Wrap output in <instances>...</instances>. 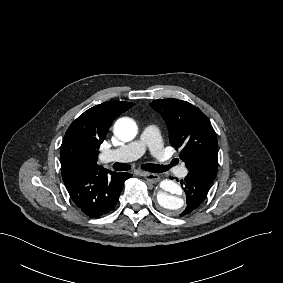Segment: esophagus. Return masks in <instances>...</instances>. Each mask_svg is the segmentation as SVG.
I'll return each mask as SVG.
<instances>
[{"label":"esophagus","mask_w":283,"mask_h":283,"mask_svg":"<svg viewBox=\"0 0 283 283\" xmlns=\"http://www.w3.org/2000/svg\"><path fill=\"white\" fill-rule=\"evenodd\" d=\"M136 174L143 176L147 181L151 183H158L160 181V176L156 173H149L144 171H138Z\"/></svg>","instance_id":"34e87169"}]
</instances>
